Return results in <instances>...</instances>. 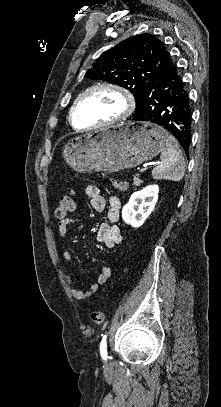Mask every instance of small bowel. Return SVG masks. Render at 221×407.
<instances>
[{"mask_svg": "<svg viewBox=\"0 0 221 407\" xmlns=\"http://www.w3.org/2000/svg\"><path fill=\"white\" fill-rule=\"evenodd\" d=\"M85 194L88 197L92 208L96 211L102 212L107 209V223H103L97 232V242L105 247L111 248L116 246L121 241V231L117 225L120 219V200L117 196L112 195L105 199L101 190L96 185H87L85 187ZM74 224V219H64L58 222V234L62 239H66L69 232V226ZM63 259L65 261L64 276L66 282L72 287L73 297L82 301L95 294L101 285H104L112 275L110 266L103 265L99 274L97 275L96 282L93 283L88 289L81 290L76 287L75 280L69 272V266L72 262V256L69 251L63 252Z\"/></svg>", "mask_w": 221, "mask_h": 407, "instance_id": "small-bowel-1", "label": "small bowel"}]
</instances>
